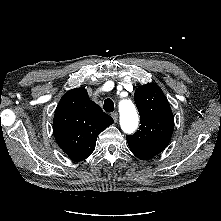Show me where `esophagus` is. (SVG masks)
Instances as JSON below:
<instances>
[{
    "instance_id": "esophagus-1",
    "label": "esophagus",
    "mask_w": 221,
    "mask_h": 221,
    "mask_svg": "<svg viewBox=\"0 0 221 221\" xmlns=\"http://www.w3.org/2000/svg\"><path fill=\"white\" fill-rule=\"evenodd\" d=\"M112 118L114 119L115 122L118 121V113L117 112H114L111 114Z\"/></svg>"
}]
</instances>
